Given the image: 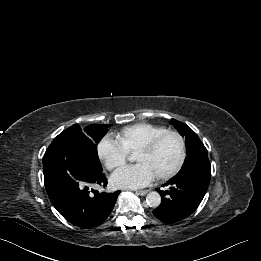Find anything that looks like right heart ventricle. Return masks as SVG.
<instances>
[{
	"instance_id": "e07e8e85",
	"label": "right heart ventricle",
	"mask_w": 261,
	"mask_h": 261,
	"mask_svg": "<svg viewBox=\"0 0 261 261\" xmlns=\"http://www.w3.org/2000/svg\"><path fill=\"white\" fill-rule=\"evenodd\" d=\"M166 130L163 126L142 122L124 127L116 133V138L127 151L134 152Z\"/></svg>"
}]
</instances>
